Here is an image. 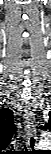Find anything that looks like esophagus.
<instances>
[{
  "label": "esophagus",
  "mask_w": 51,
  "mask_h": 154,
  "mask_svg": "<svg viewBox=\"0 0 51 154\" xmlns=\"http://www.w3.org/2000/svg\"><path fill=\"white\" fill-rule=\"evenodd\" d=\"M24 117L26 119L25 120L26 123H28L29 122L28 115L25 114ZM26 128H27V144L29 145V147L36 145L37 139L35 136V134H36L35 130H32L30 125H28V124L26 125Z\"/></svg>",
  "instance_id": "1"
}]
</instances>
